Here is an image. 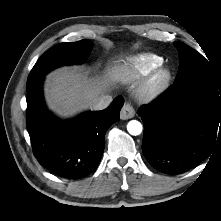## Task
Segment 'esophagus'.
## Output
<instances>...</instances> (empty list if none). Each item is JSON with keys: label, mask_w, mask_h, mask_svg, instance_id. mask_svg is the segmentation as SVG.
<instances>
[{"label": "esophagus", "mask_w": 221, "mask_h": 221, "mask_svg": "<svg viewBox=\"0 0 221 221\" xmlns=\"http://www.w3.org/2000/svg\"><path fill=\"white\" fill-rule=\"evenodd\" d=\"M135 116V109L130 103H125L121 112H120V117L123 120H127L130 118H133Z\"/></svg>", "instance_id": "obj_1"}]
</instances>
